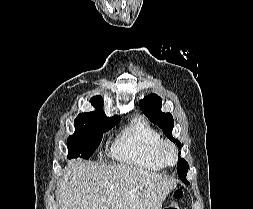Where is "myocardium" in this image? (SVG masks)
Masks as SVG:
<instances>
[{"label":"myocardium","instance_id":"1","mask_svg":"<svg viewBox=\"0 0 253 209\" xmlns=\"http://www.w3.org/2000/svg\"><path fill=\"white\" fill-rule=\"evenodd\" d=\"M158 154L165 166H175L178 161V149L176 145L167 139H162Z\"/></svg>","mask_w":253,"mask_h":209}]
</instances>
